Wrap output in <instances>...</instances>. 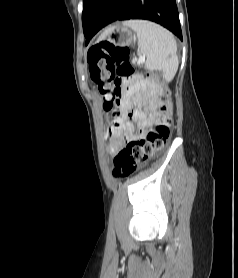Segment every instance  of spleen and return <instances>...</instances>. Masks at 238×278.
Here are the masks:
<instances>
[{"label":"spleen","instance_id":"3e777b00","mask_svg":"<svg viewBox=\"0 0 238 278\" xmlns=\"http://www.w3.org/2000/svg\"><path fill=\"white\" fill-rule=\"evenodd\" d=\"M124 25L136 32L139 51L146 56V68L162 72L163 79L170 82L178 67L177 45L173 34L145 20H129Z\"/></svg>","mask_w":238,"mask_h":278}]
</instances>
